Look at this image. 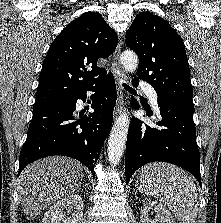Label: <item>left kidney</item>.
<instances>
[{"instance_id": "left-kidney-1", "label": "left kidney", "mask_w": 221, "mask_h": 223, "mask_svg": "<svg viewBox=\"0 0 221 223\" xmlns=\"http://www.w3.org/2000/svg\"><path fill=\"white\" fill-rule=\"evenodd\" d=\"M157 213L155 219L149 217L150 211ZM176 223L170 212L155 201H147L143 204L140 212V223Z\"/></svg>"}]
</instances>
